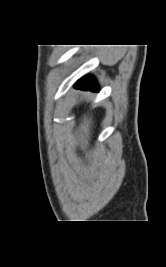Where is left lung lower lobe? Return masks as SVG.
Wrapping results in <instances>:
<instances>
[{
  "mask_svg": "<svg viewBox=\"0 0 166 267\" xmlns=\"http://www.w3.org/2000/svg\"><path fill=\"white\" fill-rule=\"evenodd\" d=\"M75 88L98 92V86H97L95 80L91 76H86V77L82 78L75 85Z\"/></svg>",
  "mask_w": 166,
  "mask_h": 267,
  "instance_id": "1",
  "label": "left lung lower lobe"
}]
</instances>
